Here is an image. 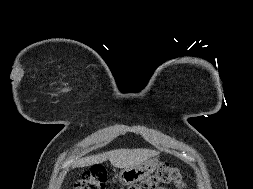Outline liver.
Returning a JSON list of instances; mask_svg holds the SVG:
<instances>
[{"label":"liver","instance_id":"liver-1","mask_svg":"<svg viewBox=\"0 0 253 189\" xmlns=\"http://www.w3.org/2000/svg\"><path fill=\"white\" fill-rule=\"evenodd\" d=\"M158 152L149 149H116L98 155L88 156L81 159L77 166L85 167L103 163L107 160L117 168H131L139 166L143 162L155 157Z\"/></svg>","mask_w":253,"mask_h":189}]
</instances>
